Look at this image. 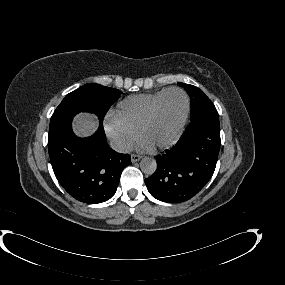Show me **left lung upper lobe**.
Segmentation results:
<instances>
[{
	"label": "left lung upper lobe",
	"instance_id": "obj_1",
	"mask_svg": "<svg viewBox=\"0 0 285 285\" xmlns=\"http://www.w3.org/2000/svg\"><path fill=\"white\" fill-rule=\"evenodd\" d=\"M178 84L182 86L190 96L191 119L204 110L215 108L212 101L199 88L180 82H178Z\"/></svg>",
	"mask_w": 285,
	"mask_h": 285
}]
</instances>
